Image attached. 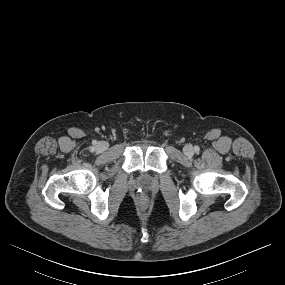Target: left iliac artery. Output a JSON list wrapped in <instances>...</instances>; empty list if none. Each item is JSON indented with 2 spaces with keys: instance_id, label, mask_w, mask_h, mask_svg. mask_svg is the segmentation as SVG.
<instances>
[{
  "instance_id": "left-iliac-artery-1",
  "label": "left iliac artery",
  "mask_w": 285,
  "mask_h": 285,
  "mask_svg": "<svg viewBox=\"0 0 285 285\" xmlns=\"http://www.w3.org/2000/svg\"><path fill=\"white\" fill-rule=\"evenodd\" d=\"M194 150H195V152H198V151H199V147H198V146H195V147H194Z\"/></svg>"
}]
</instances>
